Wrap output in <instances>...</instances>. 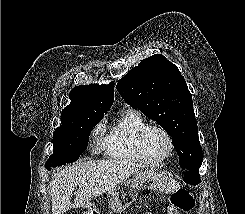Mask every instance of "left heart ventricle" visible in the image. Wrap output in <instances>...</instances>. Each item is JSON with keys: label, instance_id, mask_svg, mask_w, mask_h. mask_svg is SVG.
Here are the masks:
<instances>
[{"label": "left heart ventricle", "instance_id": "left-heart-ventricle-1", "mask_svg": "<svg viewBox=\"0 0 245 214\" xmlns=\"http://www.w3.org/2000/svg\"><path fill=\"white\" fill-rule=\"evenodd\" d=\"M144 148L147 156L152 160L163 158L169 150L166 137L157 130H151L147 133Z\"/></svg>", "mask_w": 245, "mask_h": 214}]
</instances>
